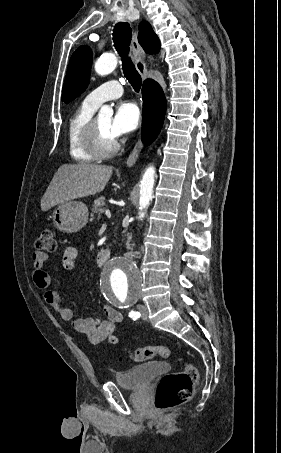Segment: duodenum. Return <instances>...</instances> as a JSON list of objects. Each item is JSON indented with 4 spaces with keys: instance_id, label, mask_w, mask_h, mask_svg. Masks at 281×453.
<instances>
[{
    "instance_id": "1",
    "label": "duodenum",
    "mask_w": 281,
    "mask_h": 453,
    "mask_svg": "<svg viewBox=\"0 0 281 453\" xmlns=\"http://www.w3.org/2000/svg\"><path fill=\"white\" fill-rule=\"evenodd\" d=\"M110 258V252L108 249H101L96 255V262L99 266H103Z\"/></svg>"
}]
</instances>
